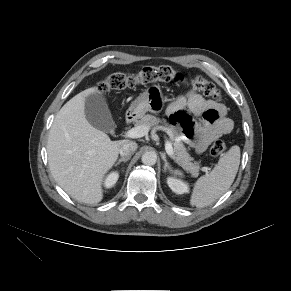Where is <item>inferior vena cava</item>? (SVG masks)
Segmentation results:
<instances>
[{"mask_svg": "<svg viewBox=\"0 0 291 291\" xmlns=\"http://www.w3.org/2000/svg\"><path fill=\"white\" fill-rule=\"evenodd\" d=\"M137 149V143L133 141H129L123 144V146L120 148V155L122 157H130L134 154V152Z\"/></svg>", "mask_w": 291, "mask_h": 291, "instance_id": "1", "label": "inferior vena cava"}]
</instances>
